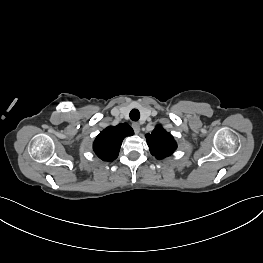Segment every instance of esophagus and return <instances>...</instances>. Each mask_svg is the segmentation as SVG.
<instances>
[{"instance_id":"obj_1","label":"esophagus","mask_w":263,"mask_h":263,"mask_svg":"<svg viewBox=\"0 0 263 263\" xmlns=\"http://www.w3.org/2000/svg\"><path fill=\"white\" fill-rule=\"evenodd\" d=\"M132 128H133V130H134V132H135L136 134L139 133V131H140V125H139V123L133 122V123H132Z\"/></svg>"}]
</instances>
